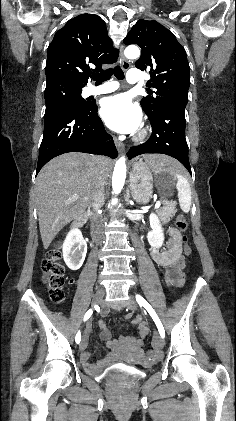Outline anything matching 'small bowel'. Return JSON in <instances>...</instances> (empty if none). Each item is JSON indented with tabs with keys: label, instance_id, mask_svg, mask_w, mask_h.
<instances>
[{
	"label": "small bowel",
	"instance_id": "obj_1",
	"mask_svg": "<svg viewBox=\"0 0 236 421\" xmlns=\"http://www.w3.org/2000/svg\"><path fill=\"white\" fill-rule=\"evenodd\" d=\"M168 234L171 238L172 244H174L178 248V250L181 251V235H180V232L176 228L171 227V228L168 229ZM71 282H73V281L71 280ZM147 332H148L147 327L144 324H140L141 336L144 337L147 334ZM138 343H140V341ZM83 356L89 357V354L84 353Z\"/></svg>",
	"mask_w": 236,
	"mask_h": 421
}]
</instances>
